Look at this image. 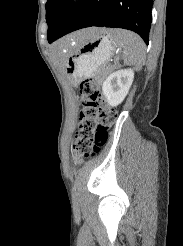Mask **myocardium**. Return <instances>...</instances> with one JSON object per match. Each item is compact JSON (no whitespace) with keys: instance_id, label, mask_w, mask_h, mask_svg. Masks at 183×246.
I'll return each mask as SVG.
<instances>
[{"instance_id":"f54148a6","label":"myocardium","mask_w":183,"mask_h":246,"mask_svg":"<svg viewBox=\"0 0 183 246\" xmlns=\"http://www.w3.org/2000/svg\"><path fill=\"white\" fill-rule=\"evenodd\" d=\"M79 2V0H72V3H77Z\"/></svg>"}]
</instances>
